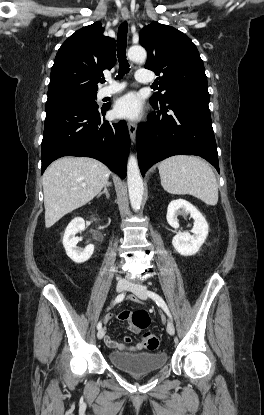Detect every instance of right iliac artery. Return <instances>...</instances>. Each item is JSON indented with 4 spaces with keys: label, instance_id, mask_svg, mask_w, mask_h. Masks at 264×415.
<instances>
[{
    "label": "right iliac artery",
    "instance_id": "82829eb1",
    "mask_svg": "<svg viewBox=\"0 0 264 415\" xmlns=\"http://www.w3.org/2000/svg\"><path fill=\"white\" fill-rule=\"evenodd\" d=\"M124 297H125L124 293L118 295L115 299V303L121 302L124 299ZM101 328H102V323H101V321H99L98 324H97V329L100 330Z\"/></svg>",
    "mask_w": 264,
    "mask_h": 415
}]
</instances>
